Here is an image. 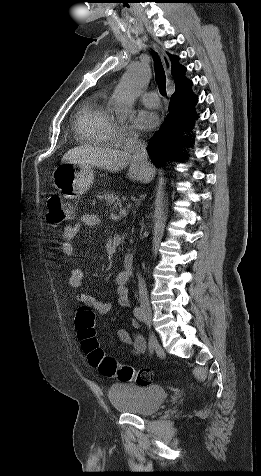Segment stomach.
<instances>
[{
  "label": "stomach",
  "instance_id": "1",
  "mask_svg": "<svg viewBox=\"0 0 261 476\" xmlns=\"http://www.w3.org/2000/svg\"><path fill=\"white\" fill-rule=\"evenodd\" d=\"M54 184L68 198H75L89 190L94 180L91 166L62 163L53 172Z\"/></svg>",
  "mask_w": 261,
  "mask_h": 476
}]
</instances>
